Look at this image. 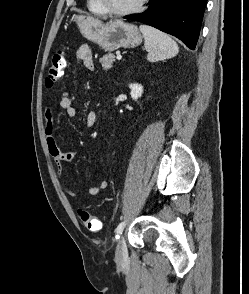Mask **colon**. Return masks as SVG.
Listing matches in <instances>:
<instances>
[{"mask_svg":"<svg viewBox=\"0 0 249 294\" xmlns=\"http://www.w3.org/2000/svg\"><path fill=\"white\" fill-rule=\"evenodd\" d=\"M66 66V54L64 49H59L55 52L51 59L48 69L46 84L52 86L57 83L63 76ZM84 227L92 232H97L101 229V222L98 218L91 215L88 211L81 210L79 212Z\"/></svg>","mask_w":249,"mask_h":294,"instance_id":"5ec220e1","label":"colon"}]
</instances>
